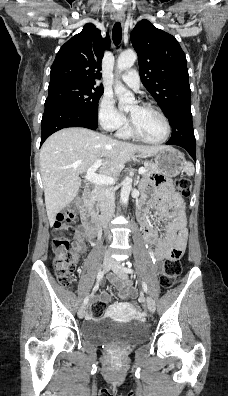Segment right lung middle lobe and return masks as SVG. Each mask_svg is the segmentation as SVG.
I'll use <instances>...</instances> for the list:
<instances>
[{
  "mask_svg": "<svg viewBox=\"0 0 228 396\" xmlns=\"http://www.w3.org/2000/svg\"><path fill=\"white\" fill-rule=\"evenodd\" d=\"M103 91L102 86L72 82L60 83L48 87L46 102L62 101L97 118L98 101Z\"/></svg>",
  "mask_w": 228,
  "mask_h": 396,
  "instance_id": "1",
  "label": "right lung middle lobe"
}]
</instances>
